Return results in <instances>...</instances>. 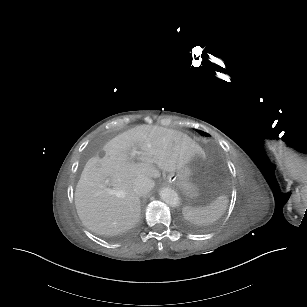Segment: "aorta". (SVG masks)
Masks as SVG:
<instances>
[{
	"mask_svg": "<svg viewBox=\"0 0 307 307\" xmlns=\"http://www.w3.org/2000/svg\"><path fill=\"white\" fill-rule=\"evenodd\" d=\"M160 196L165 203L171 206H177L179 204L178 194L170 188H163L160 191Z\"/></svg>",
	"mask_w": 307,
	"mask_h": 307,
	"instance_id": "aorta-1",
	"label": "aorta"
}]
</instances>
